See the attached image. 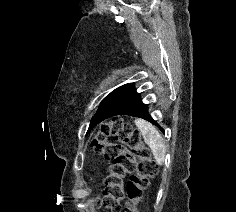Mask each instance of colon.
<instances>
[{
    "label": "colon",
    "instance_id": "5ec220e1",
    "mask_svg": "<svg viewBox=\"0 0 236 212\" xmlns=\"http://www.w3.org/2000/svg\"><path fill=\"white\" fill-rule=\"evenodd\" d=\"M109 138L112 140L109 141ZM90 147L96 154L111 160L99 207L120 212V201L127 197L132 205L124 212H138L137 204L148 188L150 179L157 174V165L139 134L122 118H114L101 126ZM126 175L130 177L124 184Z\"/></svg>",
    "mask_w": 236,
    "mask_h": 212
}]
</instances>
